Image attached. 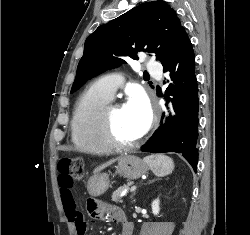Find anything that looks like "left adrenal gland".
I'll list each match as a JSON object with an SVG mask.
<instances>
[{
  "mask_svg": "<svg viewBox=\"0 0 250 235\" xmlns=\"http://www.w3.org/2000/svg\"><path fill=\"white\" fill-rule=\"evenodd\" d=\"M155 181V179L154 180H151V181H149V183H151V182H154ZM135 195V193L132 195V197L131 198H133V196Z\"/></svg>",
  "mask_w": 250,
  "mask_h": 235,
  "instance_id": "left-adrenal-gland-1",
  "label": "left adrenal gland"
}]
</instances>
